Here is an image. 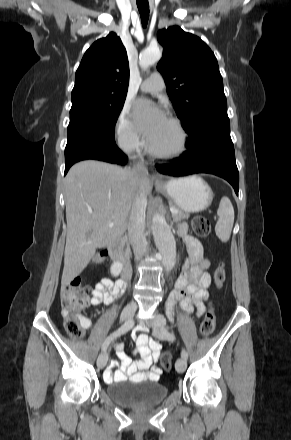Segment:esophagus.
I'll use <instances>...</instances> for the list:
<instances>
[{"instance_id":"obj_1","label":"esophagus","mask_w":291,"mask_h":440,"mask_svg":"<svg viewBox=\"0 0 291 440\" xmlns=\"http://www.w3.org/2000/svg\"><path fill=\"white\" fill-rule=\"evenodd\" d=\"M154 179H155V182H156V183H160V182H162V178H161L158 174H155V175H154Z\"/></svg>"}]
</instances>
